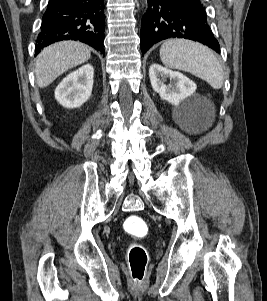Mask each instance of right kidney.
Segmentation results:
<instances>
[{"instance_id": "right-kidney-1", "label": "right kidney", "mask_w": 267, "mask_h": 301, "mask_svg": "<svg viewBox=\"0 0 267 301\" xmlns=\"http://www.w3.org/2000/svg\"><path fill=\"white\" fill-rule=\"evenodd\" d=\"M94 69L86 64L67 75L55 90L56 100L65 108H77L90 97L93 88Z\"/></svg>"}]
</instances>
